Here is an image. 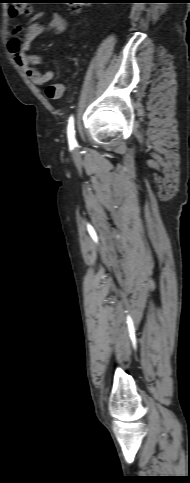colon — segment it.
<instances>
[{"mask_svg":"<svg viewBox=\"0 0 190 483\" xmlns=\"http://www.w3.org/2000/svg\"><path fill=\"white\" fill-rule=\"evenodd\" d=\"M32 3H34L33 0H13L10 4L9 13L13 17L27 16L32 11ZM73 3L72 9L77 13L81 12L83 8V4L81 3L83 2L81 0H77Z\"/></svg>","mask_w":190,"mask_h":483,"instance_id":"1","label":"colon"}]
</instances>
